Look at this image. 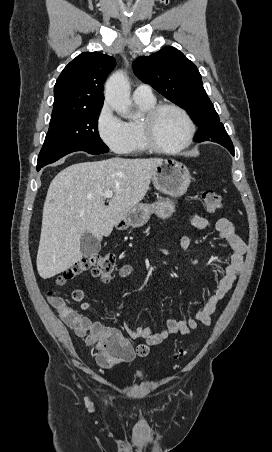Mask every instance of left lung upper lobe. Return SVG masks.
I'll return each mask as SVG.
<instances>
[{
    "label": "left lung upper lobe",
    "instance_id": "5c2ea615",
    "mask_svg": "<svg viewBox=\"0 0 272 452\" xmlns=\"http://www.w3.org/2000/svg\"><path fill=\"white\" fill-rule=\"evenodd\" d=\"M136 76L185 109L199 126L196 142L225 141L229 136L206 94L197 67L172 46L133 62Z\"/></svg>",
    "mask_w": 272,
    "mask_h": 452
}]
</instances>
